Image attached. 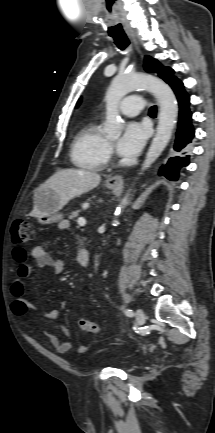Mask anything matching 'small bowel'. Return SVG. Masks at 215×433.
I'll use <instances>...</instances> for the list:
<instances>
[{
  "mask_svg": "<svg viewBox=\"0 0 215 433\" xmlns=\"http://www.w3.org/2000/svg\"><path fill=\"white\" fill-rule=\"evenodd\" d=\"M63 227L68 228L69 224H64ZM13 256L18 263V266L10 283V293L14 298L12 310L15 315L24 317L29 311L35 309V306L25 298V284L30 274L31 266L26 262L27 253L23 248H15ZM32 256L36 259L39 266L50 267L55 275L61 274L65 269L64 263L60 260L53 259L47 249L42 245H37L33 248ZM41 316L48 320H54L57 318L58 313L57 311L52 310L42 313ZM60 328L63 334L67 337V340L61 341L57 335L52 333H47V338L50 344L59 353H66L72 348V334L65 325L61 324ZM87 349L88 345L83 344L80 345L77 350L78 352L83 353Z\"/></svg>",
  "mask_w": 215,
  "mask_h": 433,
  "instance_id": "small-bowel-1",
  "label": "small bowel"
}]
</instances>
